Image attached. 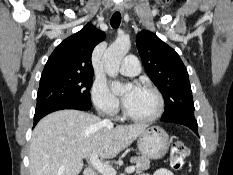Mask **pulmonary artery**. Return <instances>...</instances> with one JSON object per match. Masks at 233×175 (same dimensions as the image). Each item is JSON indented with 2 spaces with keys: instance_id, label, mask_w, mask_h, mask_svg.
<instances>
[{
  "instance_id": "e3ab8cb5",
  "label": "pulmonary artery",
  "mask_w": 233,
  "mask_h": 175,
  "mask_svg": "<svg viewBox=\"0 0 233 175\" xmlns=\"http://www.w3.org/2000/svg\"><path fill=\"white\" fill-rule=\"evenodd\" d=\"M120 72L126 76H135L140 72V62L134 55L125 57L120 65Z\"/></svg>"
}]
</instances>
